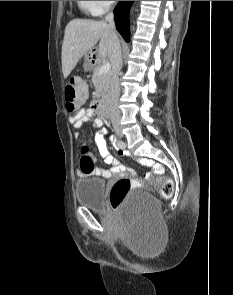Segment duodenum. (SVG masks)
Segmentation results:
<instances>
[{
	"label": "duodenum",
	"mask_w": 233,
	"mask_h": 295,
	"mask_svg": "<svg viewBox=\"0 0 233 295\" xmlns=\"http://www.w3.org/2000/svg\"><path fill=\"white\" fill-rule=\"evenodd\" d=\"M92 109L93 111L100 115V116H106L107 115V110L105 108L104 102L97 98L92 102Z\"/></svg>",
	"instance_id": "duodenum-1"
}]
</instances>
